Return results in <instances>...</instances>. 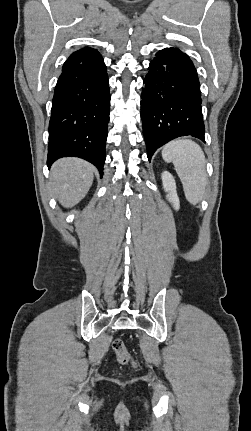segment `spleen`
Wrapping results in <instances>:
<instances>
[{"label": "spleen", "instance_id": "3e777b00", "mask_svg": "<svg viewBox=\"0 0 251 431\" xmlns=\"http://www.w3.org/2000/svg\"><path fill=\"white\" fill-rule=\"evenodd\" d=\"M162 157L174 164L186 199L194 205L200 202L207 182L206 160L201 147L191 140H174L163 147Z\"/></svg>", "mask_w": 251, "mask_h": 431}]
</instances>
